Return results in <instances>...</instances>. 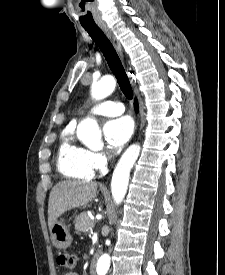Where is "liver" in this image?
I'll return each mask as SVG.
<instances>
[{
    "label": "liver",
    "mask_w": 225,
    "mask_h": 275,
    "mask_svg": "<svg viewBox=\"0 0 225 275\" xmlns=\"http://www.w3.org/2000/svg\"><path fill=\"white\" fill-rule=\"evenodd\" d=\"M96 193V182L67 180L57 183L49 196V230L61 215L68 210L87 205L95 198Z\"/></svg>",
    "instance_id": "1"
}]
</instances>
